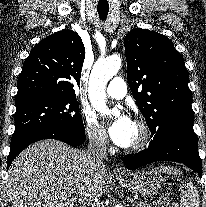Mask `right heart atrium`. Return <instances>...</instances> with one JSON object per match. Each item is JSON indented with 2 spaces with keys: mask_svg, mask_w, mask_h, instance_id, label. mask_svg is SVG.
<instances>
[{
  "mask_svg": "<svg viewBox=\"0 0 206 207\" xmlns=\"http://www.w3.org/2000/svg\"><path fill=\"white\" fill-rule=\"evenodd\" d=\"M82 120L86 135L92 145L98 148H105L108 143L107 135L95 116L89 111H84Z\"/></svg>",
  "mask_w": 206,
  "mask_h": 207,
  "instance_id": "right-heart-atrium-1",
  "label": "right heart atrium"
}]
</instances>
